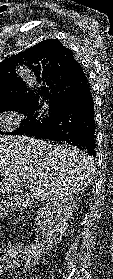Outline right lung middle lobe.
<instances>
[{
    "label": "right lung middle lobe",
    "instance_id": "dd1d6c3e",
    "mask_svg": "<svg viewBox=\"0 0 113 279\" xmlns=\"http://www.w3.org/2000/svg\"><path fill=\"white\" fill-rule=\"evenodd\" d=\"M5 108L6 107H2L0 110L2 111ZM10 108L12 111L14 110L18 113L24 114L26 117L22 120L20 127L17 130L5 133L13 135H24L27 131L50 122L55 118L58 112V106L50 103H48V105H44L43 103H31L12 106ZM0 134H3V132L0 131Z\"/></svg>",
    "mask_w": 113,
    "mask_h": 279
}]
</instances>
